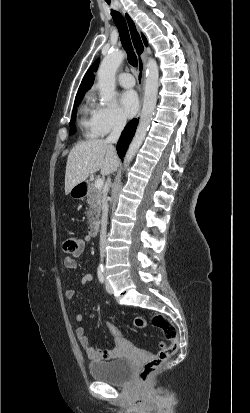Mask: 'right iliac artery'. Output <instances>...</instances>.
<instances>
[{
    "instance_id": "82829eb1",
    "label": "right iliac artery",
    "mask_w": 250,
    "mask_h": 413,
    "mask_svg": "<svg viewBox=\"0 0 250 413\" xmlns=\"http://www.w3.org/2000/svg\"><path fill=\"white\" fill-rule=\"evenodd\" d=\"M97 274H98V279H99L100 283H104L105 282V273H104V268H103L102 265H100L98 267Z\"/></svg>"
}]
</instances>
